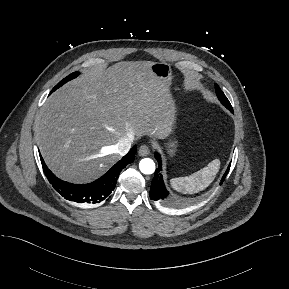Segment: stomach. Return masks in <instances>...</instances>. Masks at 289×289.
<instances>
[{
    "label": "stomach",
    "instance_id": "0dacf381",
    "mask_svg": "<svg viewBox=\"0 0 289 289\" xmlns=\"http://www.w3.org/2000/svg\"><path fill=\"white\" fill-rule=\"evenodd\" d=\"M150 70L152 73L164 81L167 85L170 83L172 79V68L170 64L166 62H151ZM171 148H175V143L170 144ZM171 149L170 153L173 154L174 150Z\"/></svg>",
    "mask_w": 289,
    "mask_h": 289
}]
</instances>
